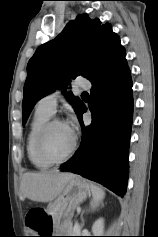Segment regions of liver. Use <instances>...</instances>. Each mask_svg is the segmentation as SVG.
I'll return each mask as SVG.
<instances>
[{"label":"liver","instance_id":"liver-1","mask_svg":"<svg viewBox=\"0 0 158 237\" xmlns=\"http://www.w3.org/2000/svg\"><path fill=\"white\" fill-rule=\"evenodd\" d=\"M75 177L72 173L58 171L26 172L21 179V196L33 201L50 202L58 197L67 183Z\"/></svg>","mask_w":158,"mask_h":237}]
</instances>
